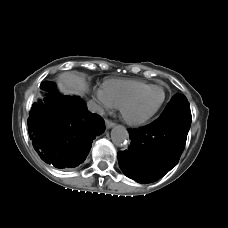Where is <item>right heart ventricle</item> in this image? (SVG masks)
Masks as SVG:
<instances>
[{
	"label": "right heart ventricle",
	"instance_id": "obj_1",
	"mask_svg": "<svg viewBox=\"0 0 228 228\" xmlns=\"http://www.w3.org/2000/svg\"><path fill=\"white\" fill-rule=\"evenodd\" d=\"M148 86L139 80L110 79L103 83L102 92L112 106L119 107L128 96Z\"/></svg>",
	"mask_w": 228,
	"mask_h": 228
}]
</instances>
